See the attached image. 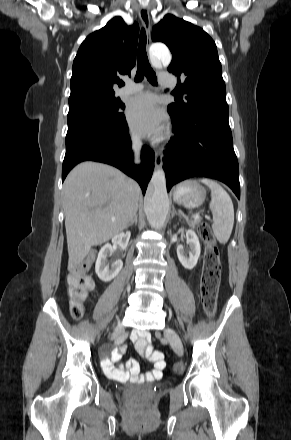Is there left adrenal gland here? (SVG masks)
Wrapping results in <instances>:
<instances>
[{"mask_svg":"<svg viewBox=\"0 0 291 440\" xmlns=\"http://www.w3.org/2000/svg\"><path fill=\"white\" fill-rule=\"evenodd\" d=\"M175 214L179 215V214L177 213V211L173 208L172 217H173Z\"/></svg>","mask_w":291,"mask_h":440,"instance_id":"obj_1","label":"left adrenal gland"}]
</instances>
